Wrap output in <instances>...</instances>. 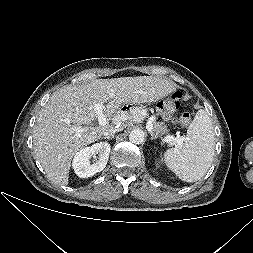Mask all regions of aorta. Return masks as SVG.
<instances>
[{
  "mask_svg": "<svg viewBox=\"0 0 253 253\" xmlns=\"http://www.w3.org/2000/svg\"><path fill=\"white\" fill-rule=\"evenodd\" d=\"M144 132L139 129H134L129 134V140L134 144H141L144 141Z\"/></svg>",
  "mask_w": 253,
  "mask_h": 253,
  "instance_id": "aorta-1",
  "label": "aorta"
}]
</instances>
